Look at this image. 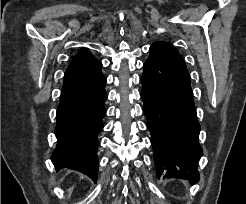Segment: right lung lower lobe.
<instances>
[{
	"label": "right lung lower lobe",
	"mask_w": 246,
	"mask_h": 204,
	"mask_svg": "<svg viewBox=\"0 0 246 204\" xmlns=\"http://www.w3.org/2000/svg\"><path fill=\"white\" fill-rule=\"evenodd\" d=\"M98 60L72 61L64 77L57 110L56 170L70 168L97 179L98 133L103 128L106 78Z\"/></svg>",
	"instance_id": "obj_1"
}]
</instances>
